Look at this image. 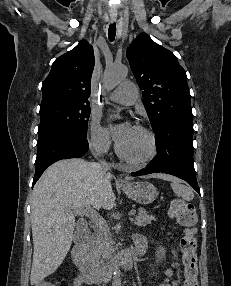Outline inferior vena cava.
Here are the masks:
<instances>
[{
  "instance_id": "1",
  "label": "inferior vena cava",
  "mask_w": 231,
  "mask_h": 286,
  "mask_svg": "<svg viewBox=\"0 0 231 286\" xmlns=\"http://www.w3.org/2000/svg\"><path fill=\"white\" fill-rule=\"evenodd\" d=\"M100 165L105 170L110 169V166H109V164L106 161H100Z\"/></svg>"
}]
</instances>
